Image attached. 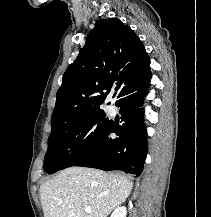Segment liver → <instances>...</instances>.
Instances as JSON below:
<instances>
[{
  "instance_id": "1",
  "label": "liver",
  "mask_w": 211,
  "mask_h": 217,
  "mask_svg": "<svg viewBox=\"0 0 211 217\" xmlns=\"http://www.w3.org/2000/svg\"><path fill=\"white\" fill-rule=\"evenodd\" d=\"M132 188L133 183L119 173L70 167L40 186L44 217H108Z\"/></svg>"
}]
</instances>
